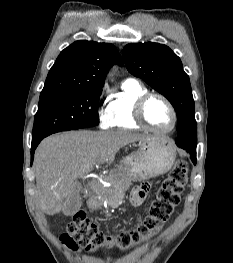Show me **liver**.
Listing matches in <instances>:
<instances>
[{"label": "liver", "mask_w": 233, "mask_h": 263, "mask_svg": "<svg viewBox=\"0 0 233 263\" xmlns=\"http://www.w3.org/2000/svg\"><path fill=\"white\" fill-rule=\"evenodd\" d=\"M149 137L125 130H82L45 138L34 158L38 207L48 215L59 213L70 198L79 195L78 178L91 172L97 163L114 160L123 146Z\"/></svg>", "instance_id": "1"}]
</instances>
